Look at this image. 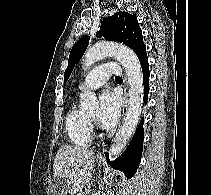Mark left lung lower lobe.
I'll use <instances>...</instances> for the list:
<instances>
[{"label":"left lung lower lobe","instance_id":"0a47b994","mask_svg":"<svg viewBox=\"0 0 211 195\" xmlns=\"http://www.w3.org/2000/svg\"><path fill=\"white\" fill-rule=\"evenodd\" d=\"M142 71H143V82H144V95H145V103H147V96L149 92V66H148V58L147 56H143L139 59ZM144 140V130H143V119L141 120L130 144L124 153L117 158L116 160L110 162L109 154L106 153L107 160L110 164L117 170H121L125 173L127 177H133L136 173L139 163L141 160L142 154V144Z\"/></svg>","mask_w":211,"mask_h":195}]
</instances>
